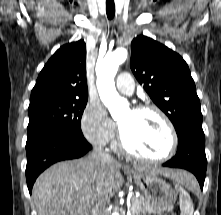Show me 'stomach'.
<instances>
[{
    "instance_id": "0dacf381",
    "label": "stomach",
    "mask_w": 221,
    "mask_h": 215,
    "mask_svg": "<svg viewBox=\"0 0 221 215\" xmlns=\"http://www.w3.org/2000/svg\"><path fill=\"white\" fill-rule=\"evenodd\" d=\"M127 175L134 180L143 193L144 198L159 209H170L177 199L171 186L154 173L127 170Z\"/></svg>"
}]
</instances>
